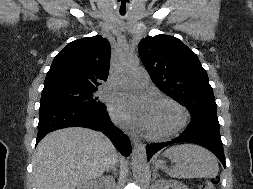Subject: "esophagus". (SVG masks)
Segmentation results:
<instances>
[{"label":"esophagus","mask_w":253,"mask_h":189,"mask_svg":"<svg viewBox=\"0 0 253 189\" xmlns=\"http://www.w3.org/2000/svg\"><path fill=\"white\" fill-rule=\"evenodd\" d=\"M129 138L132 144H136L139 141V137L136 134H130Z\"/></svg>","instance_id":"1"}]
</instances>
